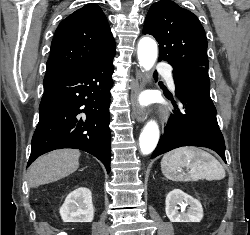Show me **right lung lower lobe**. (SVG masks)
<instances>
[{"label": "right lung lower lobe", "instance_id": "obj_1", "mask_svg": "<svg viewBox=\"0 0 250 235\" xmlns=\"http://www.w3.org/2000/svg\"><path fill=\"white\" fill-rule=\"evenodd\" d=\"M114 56L111 52L75 72L44 78L40 119L28 166L46 152L75 148L97 157L110 172L109 106Z\"/></svg>", "mask_w": 250, "mask_h": 235}]
</instances>
